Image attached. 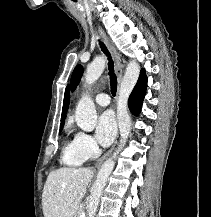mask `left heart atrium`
<instances>
[{"label":"left heart atrium","mask_w":211,"mask_h":217,"mask_svg":"<svg viewBox=\"0 0 211 217\" xmlns=\"http://www.w3.org/2000/svg\"><path fill=\"white\" fill-rule=\"evenodd\" d=\"M116 121L111 112L103 113L97 122L96 138L102 146H108L116 134Z\"/></svg>","instance_id":"1"}]
</instances>
